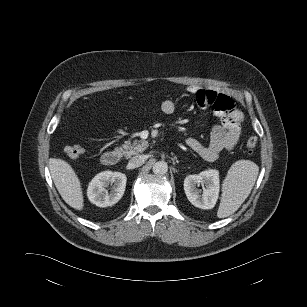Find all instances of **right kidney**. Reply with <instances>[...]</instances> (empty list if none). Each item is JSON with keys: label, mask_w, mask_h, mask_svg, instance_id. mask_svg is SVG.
Masks as SVG:
<instances>
[{"label": "right kidney", "mask_w": 307, "mask_h": 307, "mask_svg": "<svg viewBox=\"0 0 307 307\" xmlns=\"http://www.w3.org/2000/svg\"><path fill=\"white\" fill-rule=\"evenodd\" d=\"M127 177L120 172L103 171L97 174L89 183L87 196L98 207L116 204L124 194ZM110 191L107 190L112 185Z\"/></svg>", "instance_id": "1"}]
</instances>
